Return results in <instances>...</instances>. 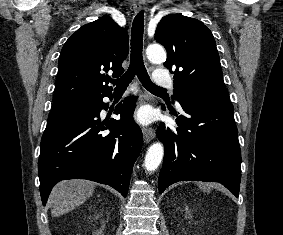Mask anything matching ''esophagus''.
<instances>
[{
	"mask_svg": "<svg viewBox=\"0 0 283 235\" xmlns=\"http://www.w3.org/2000/svg\"><path fill=\"white\" fill-rule=\"evenodd\" d=\"M145 9L144 3L137 2L134 4V10L136 13ZM155 137V130L153 128H143V138L145 143H149Z\"/></svg>",
	"mask_w": 283,
	"mask_h": 235,
	"instance_id": "esophagus-1",
	"label": "esophagus"
}]
</instances>
